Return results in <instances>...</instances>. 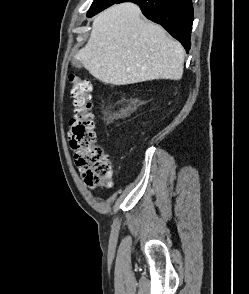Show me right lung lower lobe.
<instances>
[{
  "label": "right lung lower lobe",
  "instance_id": "98d812e1",
  "mask_svg": "<svg viewBox=\"0 0 249 294\" xmlns=\"http://www.w3.org/2000/svg\"><path fill=\"white\" fill-rule=\"evenodd\" d=\"M139 5L142 13L153 22L163 26L188 52L193 23L191 0H118Z\"/></svg>",
  "mask_w": 249,
  "mask_h": 294
}]
</instances>
